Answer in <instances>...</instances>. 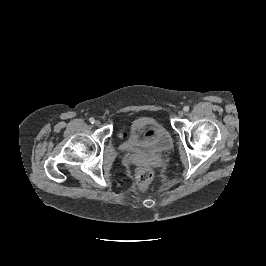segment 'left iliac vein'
<instances>
[{
    "mask_svg": "<svg viewBox=\"0 0 266 266\" xmlns=\"http://www.w3.org/2000/svg\"><path fill=\"white\" fill-rule=\"evenodd\" d=\"M178 116L181 118V117H183L184 116V112L182 111V110H180L179 112H178Z\"/></svg>",
    "mask_w": 266,
    "mask_h": 266,
    "instance_id": "1",
    "label": "left iliac vein"
}]
</instances>
